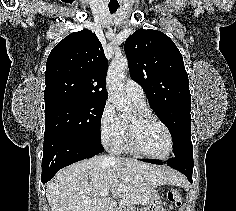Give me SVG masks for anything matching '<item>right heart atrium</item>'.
I'll return each instance as SVG.
<instances>
[{
  "label": "right heart atrium",
  "mask_w": 236,
  "mask_h": 211,
  "mask_svg": "<svg viewBox=\"0 0 236 211\" xmlns=\"http://www.w3.org/2000/svg\"><path fill=\"white\" fill-rule=\"evenodd\" d=\"M99 133L102 144L109 148H115L123 134L122 120L109 101L105 103L100 114Z\"/></svg>",
  "instance_id": "right-heart-atrium-1"
}]
</instances>
